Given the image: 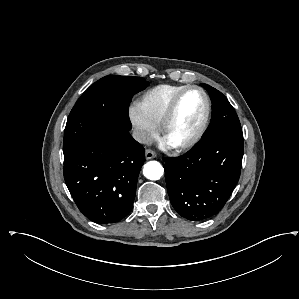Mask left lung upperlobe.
Returning a JSON list of instances; mask_svg holds the SVG:
<instances>
[{
	"mask_svg": "<svg viewBox=\"0 0 299 299\" xmlns=\"http://www.w3.org/2000/svg\"><path fill=\"white\" fill-rule=\"evenodd\" d=\"M201 86L208 91L212 102L211 122L202 139L219 134L243 136L238 116L227 98L207 84L202 83Z\"/></svg>",
	"mask_w": 299,
	"mask_h": 299,
	"instance_id": "5c2ea615",
	"label": "left lung upper lobe"
}]
</instances>
